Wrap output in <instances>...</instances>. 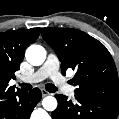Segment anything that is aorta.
<instances>
[{"label":"aorta","mask_w":119,"mask_h":119,"mask_svg":"<svg viewBox=\"0 0 119 119\" xmlns=\"http://www.w3.org/2000/svg\"><path fill=\"white\" fill-rule=\"evenodd\" d=\"M26 60L33 66L41 65L46 59V50L41 45H31L25 53ZM43 108L47 111H54L57 107V100L53 96H47L42 101Z\"/></svg>","instance_id":"1"}]
</instances>
